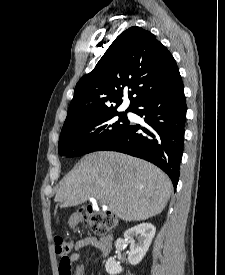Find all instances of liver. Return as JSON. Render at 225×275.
<instances>
[{"label": "liver", "mask_w": 225, "mask_h": 275, "mask_svg": "<svg viewBox=\"0 0 225 275\" xmlns=\"http://www.w3.org/2000/svg\"><path fill=\"white\" fill-rule=\"evenodd\" d=\"M172 183L155 165L126 154L85 155L60 182L55 201L63 207L95 198L125 221H143L163 211Z\"/></svg>", "instance_id": "obj_1"}]
</instances>
